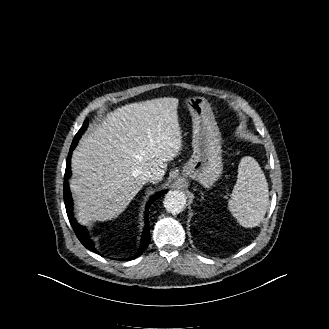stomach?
Returning <instances> with one entry per match:
<instances>
[{"label":"stomach","instance_id":"0dacf381","mask_svg":"<svg viewBox=\"0 0 329 329\" xmlns=\"http://www.w3.org/2000/svg\"><path fill=\"white\" fill-rule=\"evenodd\" d=\"M193 122V155L185 164L182 175L210 188L221 177V133L209 102L203 97L186 100Z\"/></svg>","mask_w":329,"mask_h":329}]
</instances>
